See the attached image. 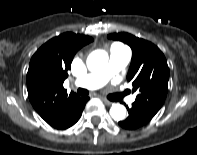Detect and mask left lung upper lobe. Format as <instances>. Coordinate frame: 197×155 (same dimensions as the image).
Returning a JSON list of instances; mask_svg holds the SVG:
<instances>
[{"instance_id": "left-lung-upper-lobe-1", "label": "left lung upper lobe", "mask_w": 197, "mask_h": 155, "mask_svg": "<svg viewBox=\"0 0 197 155\" xmlns=\"http://www.w3.org/2000/svg\"><path fill=\"white\" fill-rule=\"evenodd\" d=\"M107 37L131 47L132 60L127 79L132 82L133 92H138L134 103L155 115L168 91L169 68L164 54L151 42L129 33H114Z\"/></svg>"}]
</instances>
